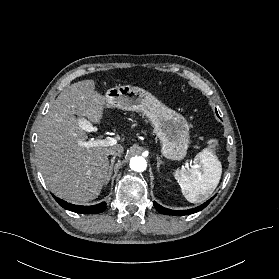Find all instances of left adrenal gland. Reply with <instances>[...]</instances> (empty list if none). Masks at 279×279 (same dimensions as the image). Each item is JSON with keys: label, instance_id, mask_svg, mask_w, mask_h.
Returning a JSON list of instances; mask_svg holds the SVG:
<instances>
[{"label": "left adrenal gland", "instance_id": "obj_1", "mask_svg": "<svg viewBox=\"0 0 279 279\" xmlns=\"http://www.w3.org/2000/svg\"><path fill=\"white\" fill-rule=\"evenodd\" d=\"M163 164L162 160L160 157L157 155V170L160 171V166Z\"/></svg>", "mask_w": 279, "mask_h": 279}]
</instances>
